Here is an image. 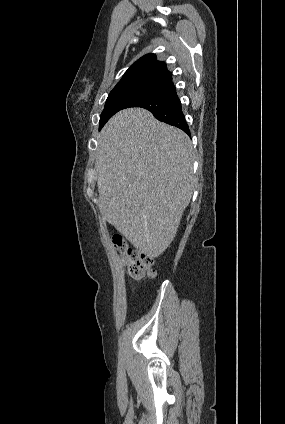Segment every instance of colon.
Listing matches in <instances>:
<instances>
[{
    "label": "colon",
    "instance_id": "colon-1",
    "mask_svg": "<svg viewBox=\"0 0 285 424\" xmlns=\"http://www.w3.org/2000/svg\"><path fill=\"white\" fill-rule=\"evenodd\" d=\"M112 242L134 280L154 278V260L142 251L131 248L120 234L112 235Z\"/></svg>",
    "mask_w": 285,
    "mask_h": 424
}]
</instances>
